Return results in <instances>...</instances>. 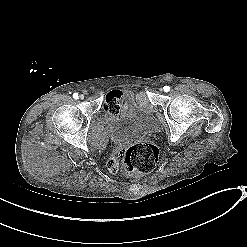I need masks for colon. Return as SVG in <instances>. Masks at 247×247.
Wrapping results in <instances>:
<instances>
[{
	"label": "colon",
	"instance_id": "obj_1",
	"mask_svg": "<svg viewBox=\"0 0 247 247\" xmlns=\"http://www.w3.org/2000/svg\"><path fill=\"white\" fill-rule=\"evenodd\" d=\"M159 156V149L149 142L129 147L122 152L118 175L128 181L134 175L144 174L155 167Z\"/></svg>",
	"mask_w": 247,
	"mask_h": 247
}]
</instances>
